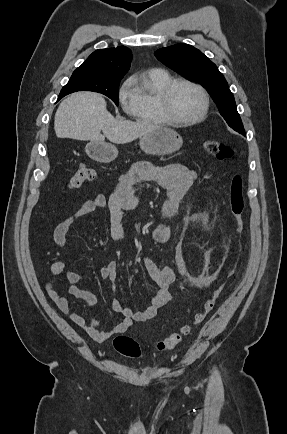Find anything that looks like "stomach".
<instances>
[{
    "mask_svg": "<svg viewBox=\"0 0 287 434\" xmlns=\"http://www.w3.org/2000/svg\"><path fill=\"white\" fill-rule=\"evenodd\" d=\"M182 137L173 129L160 127L140 137L141 149L149 155H168L180 149ZM88 156L101 163H109L118 156L117 148L105 142H90L86 146Z\"/></svg>",
    "mask_w": 287,
    "mask_h": 434,
    "instance_id": "1",
    "label": "stomach"
}]
</instances>
